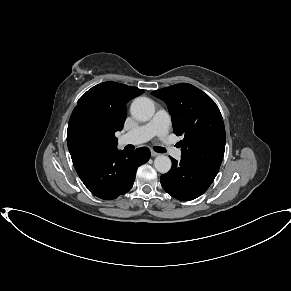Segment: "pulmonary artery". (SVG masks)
Segmentation results:
<instances>
[{
    "mask_svg": "<svg viewBox=\"0 0 291 291\" xmlns=\"http://www.w3.org/2000/svg\"><path fill=\"white\" fill-rule=\"evenodd\" d=\"M171 119L167 111L159 109L154 117L144 125L139 126L135 130L129 131L119 137V144H140L150 140L154 136H158L165 142L169 131ZM166 149L176 159L181 158V150L170 144H166Z\"/></svg>",
    "mask_w": 291,
    "mask_h": 291,
    "instance_id": "obj_1",
    "label": "pulmonary artery"
}]
</instances>
